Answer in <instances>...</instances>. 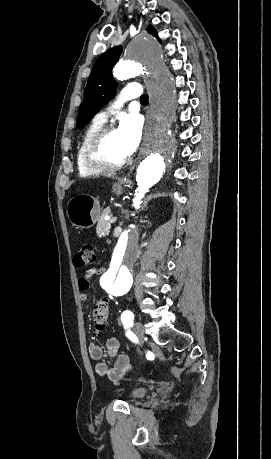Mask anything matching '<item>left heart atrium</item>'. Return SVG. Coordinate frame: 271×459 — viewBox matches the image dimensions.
<instances>
[{
	"label": "left heart atrium",
	"mask_w": 271,
	"mask_h": 459,
	"mask_svg": "<svg viewBox=\"0 0 271 459\" xmlns=\"http://www.w3.org/2000/svg\"><path fill=\"white\" fill-rule=\"evenodd\" d=\"M143 118L138 114H126L120 119L118 132L122 137L128 153L134 152L143 135Z\"/></svg>",
	"instance_id": "obj_1"
}]
</instances>
